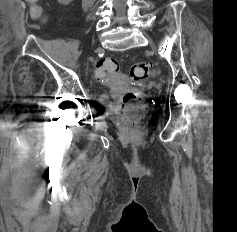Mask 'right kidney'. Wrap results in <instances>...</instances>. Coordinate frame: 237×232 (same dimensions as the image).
Masks as SVG:
<instances>
[{"instance_id":"obj_1","label":"right kidney","mask_w":237,"mask_h":232,"mask_svg":"<svg viewBox=\"0 0 237 232\" xmlns=\"http://www.w3.org/2000/svg\"><path fill=\"white\" fill-rule=\"evenodd\" d=\"M62 5H68L72 0H57Z\"/></svg>"}]
</instances>
